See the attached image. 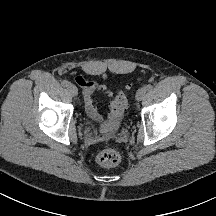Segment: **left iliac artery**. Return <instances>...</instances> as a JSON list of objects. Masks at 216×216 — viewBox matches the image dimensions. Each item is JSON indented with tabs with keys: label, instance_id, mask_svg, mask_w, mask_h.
I'll return each instance as SVG.
<instances>
[{
	"label": "left iliac artery",
	"instance_id": "44dca946",
	"mask_svg": "<svg viewBox=\"0 0 216 216\" xmlns=\"http://www.w3.org/2000/svg\"><path fill=\"white\" fill-rule=\"evenodd\" d=\"M145 88H146V90L150 91V90H152L153 86L151 84H148Z\"/></svg>",
	"mask_w": 216,
	"mask_h": 216
}]
</instances>
